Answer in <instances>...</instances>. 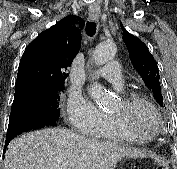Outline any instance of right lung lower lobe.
<instances>
[{
    "instance_id": "1",
    "label": "right lung lower lobe",
    "mask_w": 177,
    "mask_h": 169,
    "mask_svg": "<svg viewBox=\"0 0 177 169\" xmlns=\"http://www.w3.org/2000/svg\"><path fill=\"white\" fill-rule=\"evenodd\" d=\"M57 119L58 118L52 115L41 112L21 114L11 113L6 135L5 148L8 146L9 142L19 133L44 126H55Z\"/></svg>"
}]
</instances>
